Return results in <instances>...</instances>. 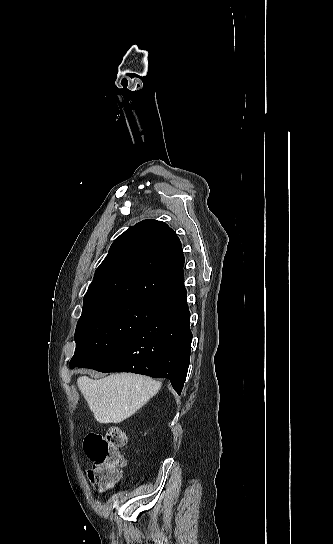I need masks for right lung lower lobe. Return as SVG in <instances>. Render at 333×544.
Returning <instances> with one entry per match:
<instances>
[{"instance_id": "obj_1", "label": "right lung lower lobe", "mask_w": 333, "mask_h": 544, "mask_svg": "<svg viewBox=\"0 0 333 544\" xmlns=\"http://www.w3.org/2000/svg\"><path fill=\"white\" fill-rule=\"evenodd\" d=\"M191 341L190 312L185 295L170 302L127 340L76 366L100 372H132L166 378L180 394L189 367Z\"/></svg>"}]
</instances>
